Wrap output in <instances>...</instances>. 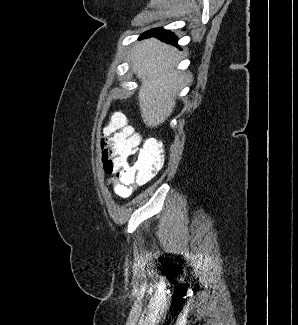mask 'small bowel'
Instances as JSON below:
<instances>
[{"mask_svg":"<svg viewBox=\"0 0 298 325\" xmlns=\"http://www.w3.org/2000/svg\"><path fill=\"white\" fill-rule=\"evenodd\" d=\"M106 184L112 186L115 194L121 198L129 197L138 188V185L124 186L114 178L107 179Z\"/></svg>","mask_w":298,"mask_h":325,"instance_id":"obj_1","label":"small bowel"}]
</instances>
